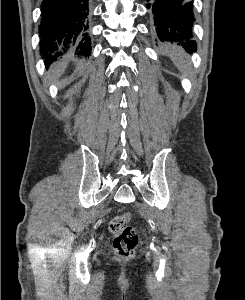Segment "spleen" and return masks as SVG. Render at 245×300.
<instances>
[{"mask_svg":"<svg viewBox=\"0 0 245 300\" xmlns=\"http://www.w3.org/2000/svg\"><path fill=\"white\" fill-rule=\"evenodd\" d=\"M170 56L178 69L181 72L185 73L188 68V62L185 56L181 52H179L178 54L172 53Z\"/></svg>","mask_w":245,"mask_h":300,"instance_id":"obj_1","label":"spleen"}]
</instances>
